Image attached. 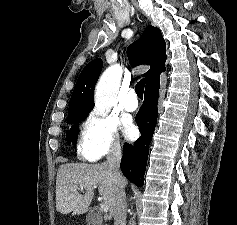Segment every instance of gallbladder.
I'll list each match as a JSON object with an SVG mask.
<instances>
[{
  "label": "gallbladder",
  "mask_w": 237,
  "mask_h": 225,
  "mask_svg": "<svg viewBox=\"0 0 237 225\" xmlns=\"http://www.w3.org/2000/svg\"><path fill=\"white\" fill-rule=\"evenodd\" d=\"M87 222L88 225H101L100 217H96L95 219H93L91 216H88Z\"/></svg>",
  "instance_id": "bac80fb5"
}]
</instances>
